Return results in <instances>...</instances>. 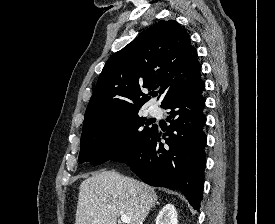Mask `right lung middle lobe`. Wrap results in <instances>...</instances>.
<instances>
[{
	"instance_id": "obj_1",
	"label": "right lung middle lobe",
	"mask_w": 275,
	"mask_h": 224,
	"mask_svg": "<svg viewBox=\"0 0 275 224\" xmlns=\"http://www.w3.org/2000/svg\"><path fill=\"white\" fill-rule=\"evenodd\" d=\"M138 110L104 119L82 129L79 163L112 160L149 134L153 126Z\"/></svg>"
}]
</instances>
